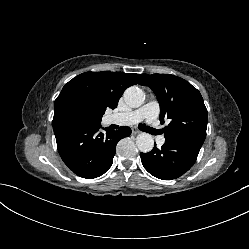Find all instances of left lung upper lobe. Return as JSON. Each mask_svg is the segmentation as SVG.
<instances>
[{
    "label": "left lung upper lobe",
    "mask_w": 249,
    "mask_h": 249,
    "mask_svg": "<svg viewBox=\"0 0 249 249\" xmlns=\"http://www.w3.org/2000/svg\"><path fill=\"white\" fill-rule=\"evenodd\" d=\"M141 85L150 87L160 104L165 141H186L202 146L206 137L207 109L200 92L186 80L168 74H145Z\"/></svg>",
    "instance_id": "left-lung-upper-lobe-1"
}]
</instances>
